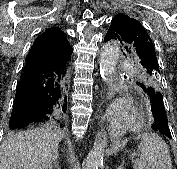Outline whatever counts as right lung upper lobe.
<instances>
[{
    "label": "right lung upper lobe",
    "mask_w": 177,
    "mask_h": 169,
    "mask_svg": "<svg viewBox=\"0 0 177 169\" xmlns=\"http://www.w3.org/2000/svg\"><path fill=\"white\" fill-rule=\"evenodd\" d=\"M72 52L66 34L57 27H51L35 39L28 56L66 63Z\"/></svg>",
    "instance_id": "1"
}]
</instances>
